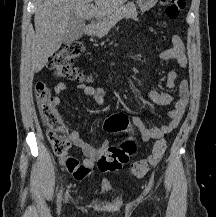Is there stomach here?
<instances>
[{
  "label": "stomach",
  "instance_id": "0dacf381",
  "mask_svg": "<svg viewBox=\"0 0 216 217\" xmlns=\"http://www.w3.org/2000/svg\"><path fill=\"white\" fill-rule=\"evenodd\" d=\"M138 7L142 12L149 11L152 9L158 2V0H136Z\"/></svg>",
  "mask_w": 216,
  "mask_h": 217
}]
</instances>
